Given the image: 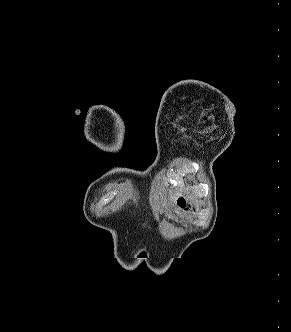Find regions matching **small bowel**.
<instances>
[{
    "mask_svg": "<svg viewBox=\"0 0 291 332\" xmlns=\"http://www.w3.org/2000/svg\"><path fill=\"white\" fill-rule=\"evenodd\" d=\"M182 207L186 206V202L183 200V204L181 205Z\"/></svg>",
    "mask_w": 291,
    "mask_h": 332,
    "instance_id": "c3829d8e",
    "label": "small bowel"
}]
</instances>
